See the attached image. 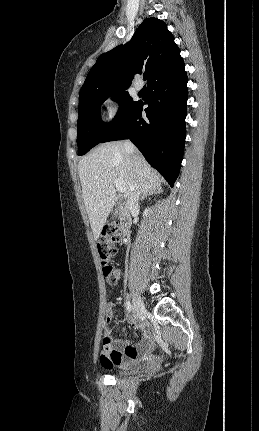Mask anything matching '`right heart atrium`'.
Listing matches in <instances>:
<instances>
[{"mask_svg": "<svg viewBox=\"0 0 259 431\" xmlns=\"http://www.w3.org/2000/svg\"><path fill=\"white\" fill-rule=\"evenodd\" d=\"M104 107H105V120L108 123L115 122L119 118L122 112V102L120 98H118L115 95H111L105 98Z\"/></svg>", "mask_w": 259, "mask_h": 431, "instance_id": "1", "label": "right heart atrium"}]
</instances>
